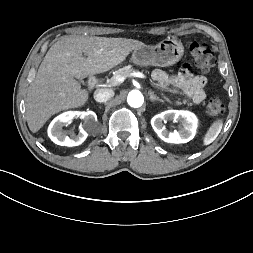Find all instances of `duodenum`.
I'll return each mask as SVG.
<instances>
[{
  "mask_svg": "<svg viewBox=\"0 0 253 253\" xmlns=\"http://www.w3.org/2000/svg\"><path fill=\"white\" fill-rule=\"evenodd\" d=\"M97 83V79L95 77L91 78L89 81V88L93 89Z\"/></svg>",
  "mask_w": 253,
  "mask_h": 253,
  "instance_id": "obj_1",
  "label": "duodenum"
}]
</instances>
